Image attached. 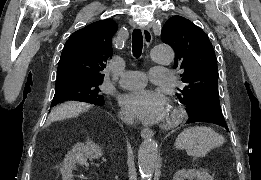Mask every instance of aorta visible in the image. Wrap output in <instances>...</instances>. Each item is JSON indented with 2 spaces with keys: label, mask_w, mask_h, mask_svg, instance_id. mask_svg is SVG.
Listing matches in <instances>:
<instances>
[{
  "label": "aorta",
  "mask_w": 261,
  "mask_h": 180,
  "mask_svg": "<svg viewBox=\"0 0 261 180\" xmlns=\"http://www.w3.org/2000/svg\"><path fill=\"white\" fill-rule=\"evenodd\" d=\"M150 57L156 63L168 64L174 59V52L167 45H158L151 50ZM157 155V143L153 139L144 140L138 151L139 171L143 180H151L156 167Z\"/></svg>",
  "instance_id": "762f6f07"
}]
</instances>
